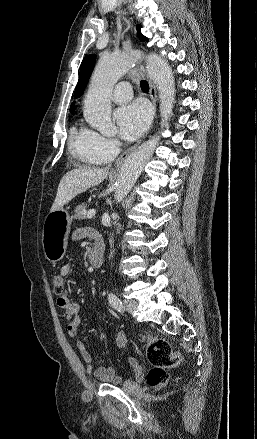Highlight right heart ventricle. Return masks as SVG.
<instances>
[{
  "mask_svg": "<svg viewBox=\"0 0 257 439\" xmlns=\"http://www.w3.org/2000/svg\"><path fill=\"white\" fill-rule=\"evenodd\" d=\"M69 149L71 154L85 165H99L105 162L91 151L90 131L83 128L72 129Z\"/></svg>",
  "mask_w": 257,
  "mask_h": 439,
  "instance_id": "e07e8e85",
  "label": "right heart ventricle"
}]
</instances>
